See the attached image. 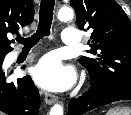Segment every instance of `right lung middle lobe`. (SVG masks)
Masks as SVG:
<instances>
[{"label": "right lung middle lobe", "mask_w": 131, "mask_h": 115, "mask_svg": "<svg viewBox=\"0 0 131 115\" xmlns=\"http://www.w3.org/2000/svg\"><path fill=\"white\" fill-rule=\"evenodd\" d=\"M3 60H4L3 58H0V64L3 62Z\"/></svg>", "instance_id": "1"}]
</instances>
